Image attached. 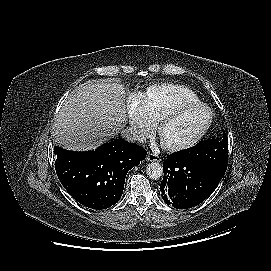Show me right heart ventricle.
Masks as SVG:
<instances>
[{"label":"right heart ventricle","instance_id":"1","mask_svg":"<svg viewBox=\"0 0 271 271\" xmlns=\"http://www.w3.org/2000/svg\"><path fill=\"white\" fill-rule=\"evenodd\" d=\"M144 98L145 108L153 123L162 113L176 106L200 101L191 89L172 83L155 84L148 87Z\"/></svg>","mask_w":271,"mask_h":271}]
</instances>
